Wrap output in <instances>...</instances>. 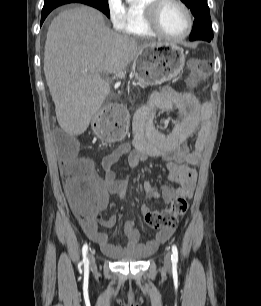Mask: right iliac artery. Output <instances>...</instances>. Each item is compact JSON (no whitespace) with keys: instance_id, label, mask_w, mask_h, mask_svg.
Returning <instances> with one entry per match:
<instances>
[{"instance_id":"1","label":"right iliac artery","mask_w":261,"mask_h":306,"mask_svg":"<svg viewBox=\"0 0 261 306\" xmlns=\"http://www.w3.org/2000/svg\"><path fill=\"white\" fill-rule=\"evenodd\" d=\"M82 255H83V263L86 268L89 266V259H88V245L84 244L82 248Z\"/></svg>"}]
</instances>
